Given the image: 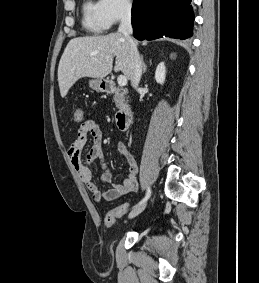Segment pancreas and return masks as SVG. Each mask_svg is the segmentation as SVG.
I'll list each match as a JSON object with an SVG mask.
<instances>
[{
	"label": "pancreas",
	"instance_id": "cf45deb5",
	"mask_svg": "<svg viewBox=\"0 0 259 283\" xmlns=\"http://www.w3.org/2000/svg\"><path fill=\"white\" fill-rule=\"evenodd\" d=\"M113 99L115 101L116 107L121 108L125 106V98L122 94H116Z\"/></svg>",
	"mask_w": 259,
	"mask_h": 283
}]
</instances>
